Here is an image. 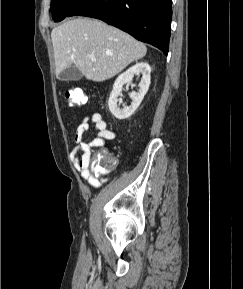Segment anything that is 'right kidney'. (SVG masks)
Segmentation results:
<instances>
[{"label":"right kidney","instance_id":"right-kidney-1","mask_svg":"<svg viewBox=\"0 0 243 289\" xmlns=\"http://www.w3.org/2000/svg\"><path fill=\"white\" fill-rule=\"evenodd\" d=\"M138 73L142 74V79L138 85L140 89L138 92L130 93V98L132 99L131 105L120 109L119 105L117 104V98L121 94L122 87L124 84L129 85L134 75ZM150 73L151 67L149 64L146 62H139L118 76L108 100L109 110L117 119L123 120L129 118L139 107L150 85Z\"/></svg>","mask_w":243,"mask_h":289}]
</instances>
